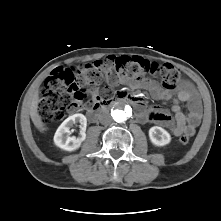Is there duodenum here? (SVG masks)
Segmentation results:
<instances>
[{
  "instance_id": "duodenum-1",
  "label": "duodenum",
  "mask_w": 221,
  "mask_h": 221,
  "mask_svg": "<svg viewBox=\"0 0 221 221\" xmlns=\"http://www.w3.org/2000/svg\"><path fill=\"white\" fill-rule=\"evenodd\" d=\"M118 101L127 102L133 106H136L137 108H141L143 106V102L140 99L134 97L133 95H130L128 93H118L113 98H104L93 102V104L87 110L88 119L91 121H96L98 115L101 112L106 111Z\"/></svg>"
}]
</instances>
